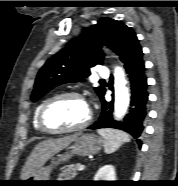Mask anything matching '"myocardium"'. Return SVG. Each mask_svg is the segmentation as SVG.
I'll return each mask as SVG.
<instances>
[{
    "label": "myocardium",
    "instance_id": "1",
    "mask_svg": "<svg viewBox=\"0 0 178 186\" xmlns=\"http://www.w3.org/2000/svg\"><path fill=\"white\" fill-rule=\"evenodd\" d=\"M66 97H75V98H78V99L82 100L83 102H85L86 105L88 106V115H87L86 119L78 126L66 128V129H53L47 125V123L45 121V113L51 104H53L54 102H56L60 99L66 98ZM92 117H93L92 110H91L90 106L88 105L84 96L81 93L76 92V91H67V92L58 93V94L50 97L41 105L39 112H38V125L43 132L48 133V134L73 133V132L81 131V130L85 129L86 127H88L92 121Z\"/></svg>",
    "mask_w": 178,
    "mask_h": 186
}]
</instances>
